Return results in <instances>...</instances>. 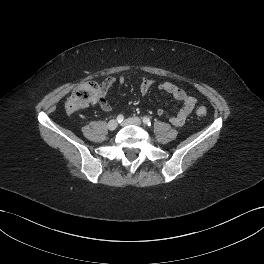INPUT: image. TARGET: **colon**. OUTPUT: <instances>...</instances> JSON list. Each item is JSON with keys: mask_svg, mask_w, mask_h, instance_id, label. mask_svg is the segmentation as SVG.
Masks as SVG:
<instances>
[{"mask_svg": "<svg viewBox=\"0 0 264 264\" xmlns=\"http://www.w3.org/2000/svg\"><path fill=\"white\" fill-rule=\"evenodd\" d=\"M100 92V86L93 81L80 84L72 93L66 103V109L69 113H73L80 108L86 107L96 102ZM207 111L204 107L197 109V115L204 117Z\"/></svg>", "mask_w": 264, "mask_h": 264, "instance_id": "obj_1", "label": "colon"}]
</instances>
